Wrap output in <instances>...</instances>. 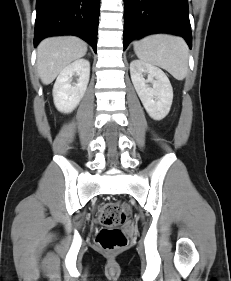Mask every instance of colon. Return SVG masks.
Instances as JSON below:
<instances>
[{"mask_svg":"<svg viewBox=\"0 0 231 281\" xmlns=\"http://www.w3.org/2000/svg\"><path fill=\"white\" fill-rule=\"evenodd\" d=\"M129 213L130 208L119 202H109L98 207L97 215L104 227L98 231L95 240L101 248L115 251L126 245L127 238L117 227L126 220Z\"/></svg>","mask_w":231,"mask_h":281,"instance_id":"obj_1","label":"colon"}]
</instances>
